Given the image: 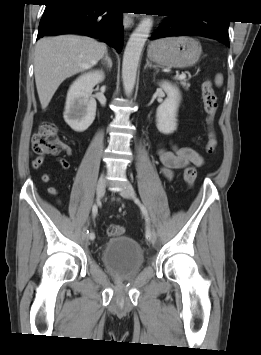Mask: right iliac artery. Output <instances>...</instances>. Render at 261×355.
I'll return each instance as SVG.
<instances>
[{"mask_svg":"<svg viewBox=\"0 0 261 355\" xmlns=\"http://www.w3.org/2000/svg\"><path fill=\"white\" fill-rule=\"evenodd\" d=\"M97 212H98V203H95V204L93 205V207H92V216H93V217H96ZM85 233H86V234H89V238H90L91 240H93V239L95 238V234H94L93 232H91V231H89V230H85Z\"/></svg>","mask_w":261,"mask_h":355,"instance_id":"obj_1","label":"right iliac artery"}]
</instances>
